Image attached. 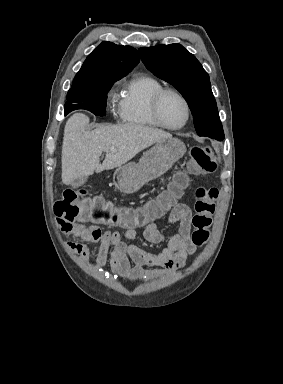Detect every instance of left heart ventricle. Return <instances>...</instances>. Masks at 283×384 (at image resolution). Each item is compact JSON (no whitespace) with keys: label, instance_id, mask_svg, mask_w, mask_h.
Returning a JSON list of instances; mask_svg holds the SVG:
<instances>
[{"label":"left heart ventricle","instance_id":"b2bd125f","mask_svg":"<svg viewBox=\"0 0 283 384\" xmlns=\"http://www.w3.org/2000/svg\"><path fill=\"white\" fill-rule=\"evenodd\" d=\"M159 113L163 123L170 127L180 126L186 118L182 101L173 94H167L163 98Z\"/></svg>","mask_w":283,"mask_h":384}]
</instances>
